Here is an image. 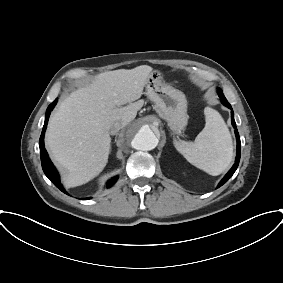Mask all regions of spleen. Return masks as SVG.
Instances as JSON below:
<instances>
[{
    "label": "spleen",
    "mask_w": 283,
    "mask_h": 283,
    "mask_svg": "<svg viewBox=\"0 0 283 283\" xmlns=\"http://www.w3.org/2000/svg\"><path fill=\"white\" fill-rule=\"evenodd\" d=\"M205 127L194 142H175L176 149L195 167L217 176L224 172L233 158L231 134L222 116L206 107Z\"/></svg>",
    "instance_id": "3e777b00"
}]
</instances>
